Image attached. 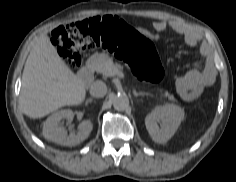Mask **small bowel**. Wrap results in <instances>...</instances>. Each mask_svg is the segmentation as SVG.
<instances>
[{"instance_id":"obj_1","label":"small bowel","mask_w":236,"mask_h":182,"mask_svg":"<svg viewBox=\"0 0 236 182\" xmlns=\"http://www.w3.org/2000/svg\"><path fill=\"white\" fill-rule=\"evenodd\" d=\"M171 28L176 34L181 35L186 44L195 47L200 42L198 33L182 24L160 20L153 23V31L142 29V33L153 40H158L162 32ZM200 52L203 62L197 63L193 68L185 72L176 81V90L184 101H194L204 89L210 86L214 80V66L209 59L207 47L202 45Z\"/></svg>"}]
</instances>
